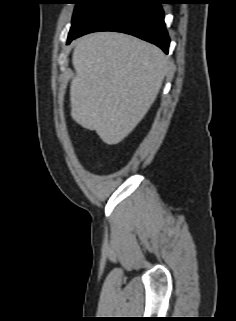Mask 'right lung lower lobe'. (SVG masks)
Wrapping results in <instances>:
<instances>
[{
    "label": "right lung lower lobe",
    "mask_w": 236,
    "mask_h": 321,
    "mask_svg": "<svg viewBox=\"0 0 236 321\" xmlns=\"http://www.w3.org/2000/svg\"><path fill=\"white\" fill-rule=\"evenodd\" d=\"M160 0H108L68 40L96 31H116L151 42L168 53L170 39Z\"/></svg>",
    "instance_id": "right-lung-lower-lobe-1"
}]
</instances>
